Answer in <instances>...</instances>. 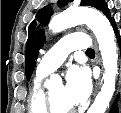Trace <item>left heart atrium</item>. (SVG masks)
<instances>
[{"mask_svg": "<svg viewBox=\"0 0 121 113\" xmlns=\"http://www.w3.org/2000/svg\"><path fill=\"white\" fill-rule=\"evenodd\" d=\"M91 88V78L86 69L74 67L68 71L65 92L73 105L85 102L90 95Z\"/></svg>", "mask_w": 121, "mask_h": 113, "instance_id": "39dd6f15", "label": "left heart atrium"}]
</instances>
